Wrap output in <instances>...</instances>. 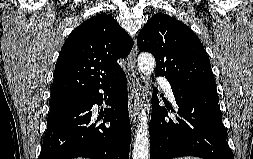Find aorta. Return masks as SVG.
<instances>
[{"label":"aorta","instance_id":"1","mask_svg":"<svg viewBox=\"0 0 253 159\" xmlns=\"http://www.w3.org/2000/svg\"><path fill=\"white\" fill-rule=\"evenodd\" d=\"M138 67L142 73L144 82H147L149 75L155 68V59L149 53H142L138 56ZM146 77V78H145ZM149 105L141 106L139 123L137 126L135 140L133 144L132 159H149V124H148Z\"/></svg>","mask_w":253,"mask_h":159}]
</instances>
